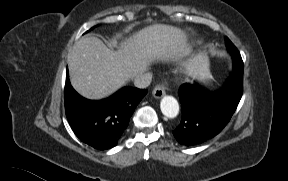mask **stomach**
<instances>
[{
    "label": "stomach",
    "instance_id": "1",
    "mask_svg": "<svg viewBox=\"0 0 288 181\" xmlns=\"http://www.w3.org/2000/svg\"><path fill=\"white\" fill-rule=\"evenodd\" d=\"M197 58L203 66H207V57L206 56L198 55Z\"/></svg>",
    "mask_w": 288,
    "mask_h": 181
}]
</instances>
